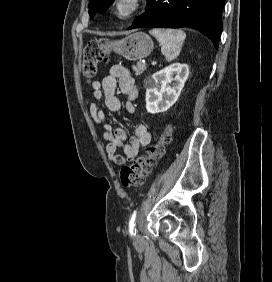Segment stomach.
Here are the masks:
<instances>
[{"label": "stomach", "instance_id": "0dacf381", "mask_svg": "<svg viewBox=\"0 0 272 282\" xmlns=\"http://www.w3.org/2000/svg\"><path fill=\"white\" fill-rule=\"evenodd\" d=\"M107 45L114 52L130 61L145 58L154 49L152 39L144 32H135L121 40L108 42Z\"/></svg>", "mask_w": 272, "mask_h": 282}]
</instances>
